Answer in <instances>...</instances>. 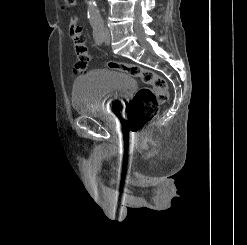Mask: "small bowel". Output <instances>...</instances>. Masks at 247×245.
Listing matches in <instances>:
<instances>
[{"label": "small bowel", "instance_id": "small-bowel-1", "mask_svg": "<svg viewBox=\"0 0 247 245\" xmlns=\"http://www.w3.org/2000/svg\"><path fill=\"white\" fill-rule=\"evenodd\" d=\"M71 30H74L75 32L79 33L82 37H84L82 29L77 25L76 19L74 17L71 18V21H70V24H69V32Z\"/></svg>", "mask_w": 247, "mask_h": 245}]
</instances>
